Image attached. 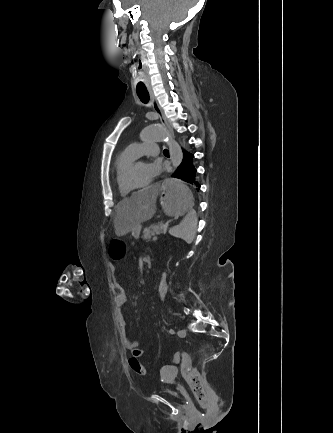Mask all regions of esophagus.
Segmentation results:
<instances>
[{
	"label": "esophagus",
	"instance_id": "obj_1",
	"mask_svg": "<svg viewBox=\"0 0 333 433\" xmlns=\"http://www.w3.org/2000/svg\"><path fill=\"white\" fill-rule=\"evenodd\" d=\"M148 93H149V96H150L151 106H152L153 110L155 111V113L157 114V116H158V118H159V120H160L162 126H163L167 131H169L170 133H172V130H171L170 127L168 126V124H167V122H166V119H165V116H164V114H163V112H162L160 106L158 105V103H157V101H156V99H155V96H154L153 91H152L151 88H148Z\"/></svg>",
	"mask_w": 333,
	"mask_h": 433
}]
</instances>
